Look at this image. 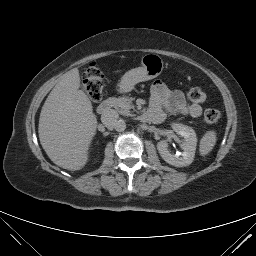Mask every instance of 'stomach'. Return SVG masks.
I'll return each mask as SVG.
<instances>
[{
    "label": "stomach",
    "instance_id": "0dacf381",
    "mask_svg": "<svg viewBox=\"0 0 256 256\" xmlns=\"http://www.w3.org/2000/svg\"><path fill=\"white\" fill-rule=\"evenodd\" d=\"M162 58L156 54H146L141 59V67L126 72L117 85L120 93H127L142 81H148L159 76L164 68Z\"/></svg>",
    "mask_w": 256,
    "mask_h": 256
}]
</instances>
